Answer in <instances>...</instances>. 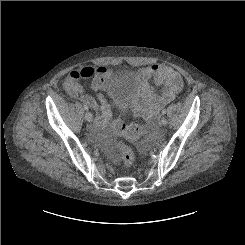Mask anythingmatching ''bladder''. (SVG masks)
<instances>
[{"mask_svg":"<svg viewBox=\"0 0 245 245\" xmlns=\"http://www.w3.org/2000/svg\"><path fill=\"white\" fill-rule=\"evenodd\" d=\"M137 87L132 69L128 68L122 71L110 88L114 108L122 114L128 112L131 109L132 96L136 93Z\"/></svg>","mask_w":245,"mask_h":245,"instance_id":"1","label":"bladder"}]
</instances>
